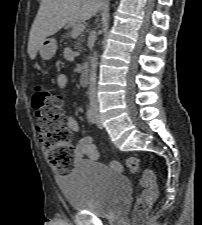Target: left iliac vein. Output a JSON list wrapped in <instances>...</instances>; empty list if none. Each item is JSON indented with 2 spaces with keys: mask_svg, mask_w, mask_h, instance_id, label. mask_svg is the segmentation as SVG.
Returning <instances> with one entry per match:
<instances>
[{
  "mask_svg": "<svg viewBox=\"0 0 202 225\" xmlns=\"http://www.w3.org/2000/svg\"><path fill=\"white\" fill-rule=\"evenodd\" d=\"M95 123H96L97 127L102 128V122H101V119H100V116H99L97 110H95Z\"/></svg>",
  "mask_w": 202,
  "mask_h": 225,
  "instance_id": "left-iliac-vein-1",
  "label": "left iliac vein"
}]
</instances>
